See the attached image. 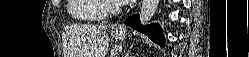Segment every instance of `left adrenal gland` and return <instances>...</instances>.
<instances>
[{
    "label": "left adrenal gland",
    "mask_w": 249,
    "mask_h": 57,
    "mask_svg": "<svg viewBox=\"0 0 249 57\" xmlns=\"http://www.w3.org/2000/svg\"><path fill=\"white\" fill-rule=\"evenodd\" d=\"M129 53H130V51L128 50V51L126 52V56H125V57H128V56H129Z\"/></svg>",
    "instance_id": "1"
}]
</instances>
